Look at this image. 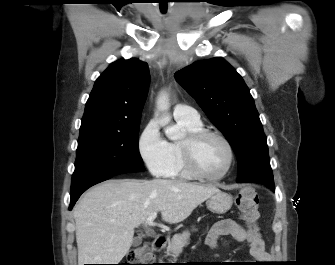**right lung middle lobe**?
<instances>
[{"mask_svg": "<svg viewBox=\"0 0 335 265\" xmlns=\"http://www.w3.org/2000/svg\"><path fill=\"white\" fill-rule=\"evenodd\" d=\"M139 125L140 121L121 129L80 132L71 189L100 176L144 171Z\"/></svg>", "mask_w": 335, "mask_h": 265, "instance_id": "1", "label": "right lung middle lobe"}]
</instances>
